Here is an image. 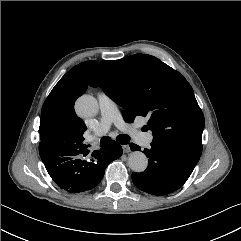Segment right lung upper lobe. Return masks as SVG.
I'll list each match as a JSON object with an SVG mask.
<instances>
[{
	"instance_id": "1",
	"label": "right lung upper lobe",
	"mask_w": 241,
	"mask_h": 241,
	"mask_svg": "<svg viewBox=\"0 0 241 241\" xmlns=\"http://www.w3.org/2000/svg\"><path fill=\"white\" fill-rule=\"evenodd\" d=\"M96 61L80 63L69 70L48 95L41 111L39 153L57 156L85 149L84 122L74 111V102L88 87Z\"/></svg>"
}]
</instances>
